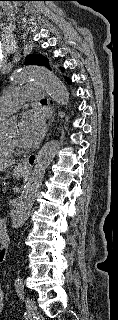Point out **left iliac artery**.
Listing matches in <instances>:
<instances>
[{
	"mask_svg": "<svg viewBox=\"0 0 118 320\" xmlns=\"http://www.w3.org/2000/svg\"><path fill=\"white\" fill-rule=\"evenodd\" d=\"M15 288L20 299H24V294H25L24 284L20 279L15 280Z\"/></svg>",
	"mask_w": 118,
	"mask_h": 320,
	"instance_id": "1",
	"label": "left iliac artery"
}]
</instances>
